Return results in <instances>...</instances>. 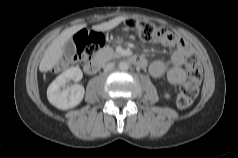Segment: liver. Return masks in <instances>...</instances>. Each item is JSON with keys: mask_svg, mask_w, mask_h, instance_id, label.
Returning <instances> with one entry per match:
<instances>
[{"mask_svg": "<svg viewBox=\"0 0 238 158\" xmlns=\"http://www.w3.org/2000/svg\"><path fill=\"white\" fill-rule=\"evenodd\" d=\"M124 18H115L109 22L102 23L94 27L97 31H108L119 25ZM86 24L72 26L70 28L65 29L46 49L45 54L40 62L39 69L46 73L48 70L54 67L60 60L63 55V47L70 38L85 28ZM44 80L46 79V75L43 76Z\"/></svg>", "mask_w": 238, "mask_h": 158, "instance_id": "obj_1", "label": "liver"}]
</instances>
